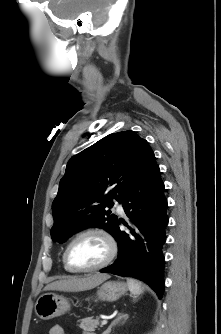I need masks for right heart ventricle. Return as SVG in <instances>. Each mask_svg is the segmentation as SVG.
<instances>
[{"label":"right heart ventricle","mask_w":221,"mask_h":334,"mask_svg":"<svg viewBox=\"0 0 221 334\" xmlns=\"http://www.w3.org/2000/svg\"><path fill=\"white\" fill-rule=\"evenodd\" d=\"M62 261H63V266H64L65 270H66V271H69V272H73V271H71V270L65 265L64 260H63V257H62Z\"/></svg>","instance_id":"1"}]
</instances>
